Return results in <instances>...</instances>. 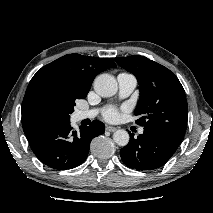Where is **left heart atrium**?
Masks as SVG:
<instances>
[{
	"instance_id": "39dd6f15",
	"label": "left heart atrium",
	"mask_w": 213,
	"mask_h": 213,
	"mask_svg": "<svg viewBox=\"0 0 213 213\" xmlns=\"http://www.w3.org/2000/svg\"><path fill=\"white\" fill-rule=\"evenodd\" d=\"M118 112L115 109H109L105 112L104 117L108 121H114L117 119Z\"/></svg>"
}]
</instances>
